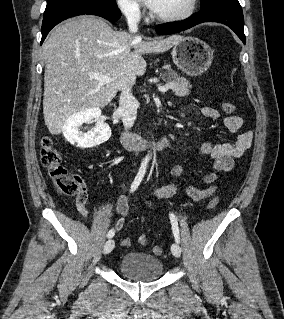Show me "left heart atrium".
<instances>
[{
  "mask_svg": "<svg viewBox=\"0 0 284 319\" xmlns=\"http://www.w3.org/2000/svg\"><path fill=\"white\" fill-rule=\"evenodd\" d=\"M143 3L148 6L150 9L154 10L158 4L159 0H142Z\"/></svg>",
  "mask_w": 284,
  "mask_h": 319,
  "instance_id": "1",
  "label": "left heart atrium"
}]
</instances>
